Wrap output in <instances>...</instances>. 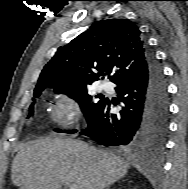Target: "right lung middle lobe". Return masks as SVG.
<instances>
[{
	"instance_id": "obj_1",
	"label": "right lung middle lobe",
	"mask_w": 188,
	"mask_h": 189,
	"mask_svg": "<svg viewBox=\"0 0 188 189\" xmlns=\"http://www.w3.org/2000/svg\"><path fill=\"white\" fill-rule=\"evenodd\" d=\"M56 93H64L68 95L69 97L76 100L80 107L82 112L84 113L86 120L89 121L98 111V109L101 107V105L104 102V99L101 98L100 101H95L94 97L90 96L87 92V88L83 89H70V88H57L55 89ZM41 92L34 93L35 97L40 96ZM34 112V104H31L29 106V115L28 118H30L33 115ZM57 132H62L60 129H55ZM66 133H75L77 130H66Z\"/></svg>"
}]
</instances>
